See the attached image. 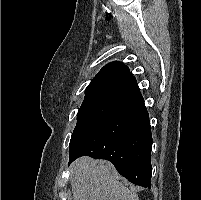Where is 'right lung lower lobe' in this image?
Instances as JSON below:
<instances>
[{
  "label": "right lung lower lobe",
  "mask_w": 201,
  "mask_h": 200,
  "mask_svg": "<svg viewBox=\"0 0 201 200\" xmlns=\"http://www.w3.org/2000/svg\"><path fill=\"white\" fill-rule=\"evenodd\" d=\"M152 134L142 96L98 120L69 145V164L81 156L106 159L131 183L151 188Z\"/></svg>",
  "instance_id": "right-lung-lower-lobe-1"
}]
</instances>
